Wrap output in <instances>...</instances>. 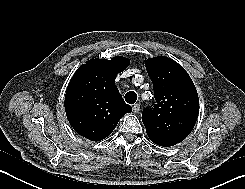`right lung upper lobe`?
Masks as SVG:
<instances>
[{"label": "right lung upper lobe", "mask_w": 245, "mask_h": 189, "mask_svg": "<svg viewBox=\"0 0 245 189\" xmlns=\"http://www.w3.org/2000/svg\"><path fill=\"white\" fill-rule=\"evenodd\" d=\"M129 64L122 56L91 59L74 73L65 95V111L79 135L100 141L112 133L123 115L132 111L115 85L116 75Z\"/></svg>", "instance_id": "obj_1"}]
</instances>
